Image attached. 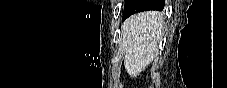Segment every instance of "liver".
Wrapping results in <instances>:
<instances>
[{
	"mask_svg": "<svg viewBox=\"0 0 227 88\" xmlns=\"http://www.w3.org/2000/svg\"><path fill=\"white\" fill-rule=\"evenodd\" d=\"M163 15L145 11L130 16L122 24L124 66L131 77H137L153 61L162 39Z\"/></svg>",
	"mask_w": 227,
	"mask_h": 88,
	"instance_id": "liver-1",
	"label": "liver"
}]
</instances>
